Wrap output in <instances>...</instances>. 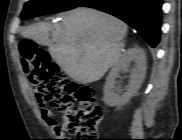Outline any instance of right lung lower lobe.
<instances>
[{
	"mask_svg": "<svg viewBox=\"0 0 182 140\" xmlns=\"http://www.w3.org/2000/svg\"><path fill=\"white\" fill-rule=\"evenodd\" d=\"M79 7L112 14L135 29L151 47L159 43L162 0H86Z\"/></svg>",
	"mask_w": 182,
	"mask_h": 140,
	"instance_id": "obj_1",
	"label": "right lung lower lobe"
}]
</instances>
